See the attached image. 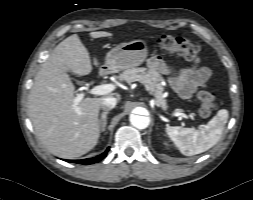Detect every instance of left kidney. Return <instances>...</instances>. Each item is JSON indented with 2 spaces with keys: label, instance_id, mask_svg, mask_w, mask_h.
Wrapping results in <instances>:
<instances>
[{
  "label": "left kidney",
  "instance_id": "obj_1",
  "mask_svg": "<svg viewBox=\"0 0 253 200\" xmlns=\"http://www.w3.org/2000/svg\"><path fill=\"white\" fill-rule=\"evenodd\" d=\"M165 145H168L167 142H164Z\"/></svg>",
  "mask_w": 253,
  "mask_h": 200
}]
</instances>
